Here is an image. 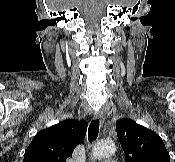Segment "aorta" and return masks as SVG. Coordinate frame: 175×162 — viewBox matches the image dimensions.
<instances>
[{
    "instance_id": "obj_1",
    "label": "aorta",
    "mask_w": 175,
    "mask_h": 162,
    "mask_svg": "<svg viewBox=\"0 0 175 162\" xmlns=\"http://www.w3.org/2000/svg\"><path fill=\"white\" fill-rule=\"evenodd\" d=\"M116 151V146L112 141L105 140L97 142L92 149V156L96 159H101L113 155Z\"/></svg>"
}]
</instances>
